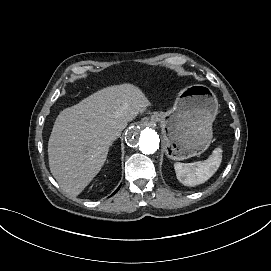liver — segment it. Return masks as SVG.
Segmentation results:
<instances>
[{
    "instance_id": "6515ba94",
    "label": "liver",
    "mask_w": 271,
    "mask_h": 271,
    "mask_svg": "<svg viewBox=\"0 0 271 271\" xmlns=\"http://www.w3.org/2000/svg\"><path fill=\"white\" fill-rule=\"evenodd\" d=\"M134 85L106 87L59 113L49 141L52 175L61 188L79 195L103 166L112 140L150 106Z\"/></svg>"
}]
</instances>
